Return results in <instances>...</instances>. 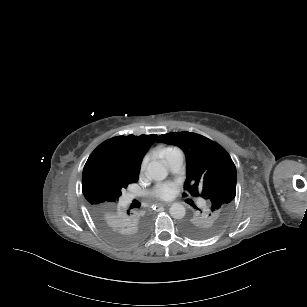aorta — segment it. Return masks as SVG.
I'll use <instances>...</instances> for the list:
<instances>
[{
    "instance_id": "obj_1",
    "label": "aorta",
    "mask_w": 307,
    "mask_h": 307,
    "mask_svg": "<svg viewBox=\"0 0 307 307\" xmlns=\"http://www.w3.org/2000/svg\"><path fill=\"white\" fill-rule=\"evenodd\" d=\"M166 160L151 161L147 166V176L155 181H162L168 176ZM170 215L175 219H182L186 210L180 203H173L169 209Z\"/></svg>"
}]
</instances>
